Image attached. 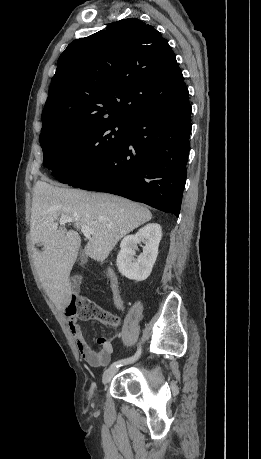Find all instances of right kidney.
I'll return each mask as SVG.
<instances>
[{
    "mask_svg": "<svg viewBox=\"0 0 261 459\" xmlns=\"http://www.w3.org/2000/svg\"><path fill=\"white\" fill-rule=\"evenodd\" d=\"M162 237V229L159 224H147L138 230L135 235L123 238L120 244V252L117 255V267L119 272L128 279L143 281L150 275L158 255V247ZM143 242V253L134 258L137 244Z\"/></svg>",
    "mask_w": 261,
    "mask_h": 459,
    "instance_id": "obj_1",
    "label": "right kidney"
}]
</instances>
